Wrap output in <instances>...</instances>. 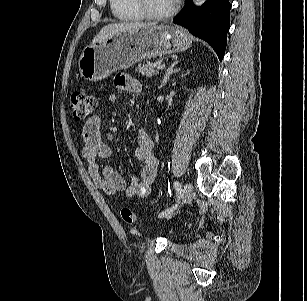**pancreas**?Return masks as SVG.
Here are the masks:
<instances>
[{
	"mask_svg": "<svg viewBox=\"0 0 307 301\" xmlns=\"http://www.w3.org/2000/svg\"><path fill=\"white\" fill-rule=\"evenodd\" d=\"M155 66V63L146 61V63H144L143 65H138L137 69L142 75L151 77L159 73L157 70H155Z\"/></svg>",
	"mask_w": 307,
	"mask_h": 301,
	"instance_id": "pancreas-1",
	"label": "pancreas"
}]
</instances>
